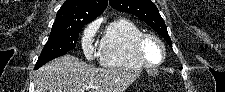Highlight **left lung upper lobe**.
<instances>
[{"label":"left lung upper lobe","mask_w":225,"mask_h":92,"mask_svg":"<svg viewBox=\"0 0 225 92\" xmlns=\"http://www.w3.org/2000/svg\"><path fill=\"white\" fill-rule=\"evenodd\" d=\"M109 3L118 11L131 13L142 19L172 46L164 20L151 0H109Z\"/></svg>","instance_id":"left-lung-upper-lobe-1"}]
</instances>
